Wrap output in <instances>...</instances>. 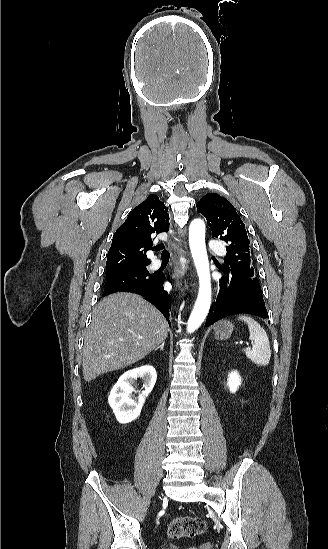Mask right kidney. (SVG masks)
<instances>
[{"label":"right kidney","instance_id":"right-kidney-1","mask_svg":"<svg viewBox=\"0 0 328 549\" xmlns=\"http://www.w3.org/2000/svg\"><path fill=\"white\" fill-rule=\"evenodd\" d=\"M138 377L144 381V391H142L139 397L132 399L130 397L131 393H134L132 385H134ZM156 379L157 373L151 365L137 367V369L126 371L124 375H121L108 397V403L111 409H113V413L119 423H130V421H134V419L139 417L145 399L151 393Z\"/></svg>","mask_w":328,"mask_h":549}]
</instances>
